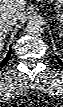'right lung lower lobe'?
<instances>
[{
  "mask_svg": "<svg viewBox=\"0 0 63 107\" xmlns=\"http://www.w3.org/2000/svg\"><path fill=\"white\" fill-rule=\"evenodd\" d=\"M11 53H12V52H11V48H10L9 51H8L7 56H6L2 61H0V70H1V68H2L3 66H5L6 63L8 62Z\"/></svg>",
  "mask_w": 63,
  "mask_h": 107,
  "instance_id": "98d812e1",
  "label": "right lung lower lobe"
}]
</instances>
